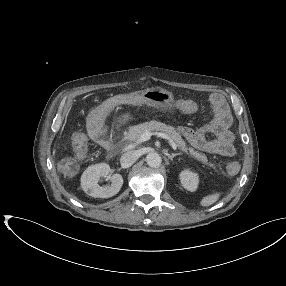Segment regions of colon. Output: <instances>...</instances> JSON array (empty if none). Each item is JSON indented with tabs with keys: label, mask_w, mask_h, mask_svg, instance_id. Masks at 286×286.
I'll return each instance as SVG.
<instances>
[{
	"label": "colon",
	"mask_w": 286,
	"mask_h": 286,
	"mask_svg": "<svg viewBox=\"0 0 286 286\" xmlns=\"http://www.w3.org/2000/svg\"><path fill=\"white\" fill-rule=\"evenodd\" d=\"M84 143H85V139H84V136L80 133H77L75 136H74V145L75 147L78 149V150H83L84 148ZM238 169V164L237 163H231L229 165V171L231 172H235L237 171Z\"/></svg>",
	"instance_id": "1"
}]
</instances>
